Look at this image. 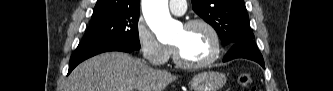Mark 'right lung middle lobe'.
<instances>
[{
  "label": "right lung middle lobe",
  "instance_id": "dd1d6c3e",
  "mask_svg": "<svg viewBox=\"0 0 333 91\" xmlns=\"http://www.w3.org/2000/svg\"><path fill=\"white\" fill-rule=\"evenodd\" d=\"M138 20L139 12L93 17L81 43L116 42L139 50Z\"/></svg>",
  "mask_w": 333,
  "mask_h": 91
}]
</instances>
